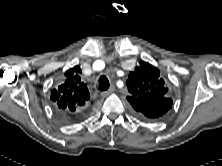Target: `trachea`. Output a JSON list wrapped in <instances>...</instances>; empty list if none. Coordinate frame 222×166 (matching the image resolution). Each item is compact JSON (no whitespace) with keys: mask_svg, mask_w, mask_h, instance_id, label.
<instances>
[{"mask_svg":"<svg viewBox=\"0 0 222 166\" xmlns=\"http://www.w3.org/2000/svg\"><path fill=\"white\" fill-rule=\"evenodd\" d=\"M98 88L100 91L108 90L109 88V80L105 75L100 76Z\"/></svg>","mask_w":222,"mask_h":166,"instance_id":"obj_1","label":"trachea"}]
</instances>
